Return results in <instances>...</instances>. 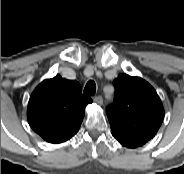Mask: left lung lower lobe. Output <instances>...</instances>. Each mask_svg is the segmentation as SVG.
Listing matches in <instances>:
<instances>
[{"label":"left lung lower lobe","mask_w":184,"mask_h":174,"mask_svg":"<svg viewBox=\"0 0 184 174\" xmlns=\"http://www.w3.org/2000/svg\"><path fill=\"white\" fill-rule=\"evenodd\" d=\"M111 133L120 144L128 148H136L147 142V140L135 138L113 129H111Z\"/></svg>","instance_id":"0a47b994"}]
</instances>
